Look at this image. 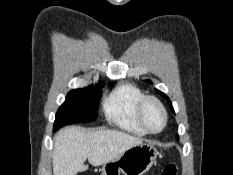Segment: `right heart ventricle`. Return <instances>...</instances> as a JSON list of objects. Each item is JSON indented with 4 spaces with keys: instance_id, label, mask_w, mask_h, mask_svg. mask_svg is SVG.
Segmentation results:
<instances>
[{
    "instance_id": "right-heart-ventricle-1",
    "label": "right heart ventricle",
    "mask_w": 233,
    "mask_h": 175,
    "mask_svg": "<svg viewBox=\"0 0 233 175\" xmlns=\"http://www.w3.org/2000/svg\"><path fill=\"white\" fill-rule=\"evenodd\" d=\"M144 96L143 91L132 83L118 85L103 101L106 119L124 131L145 135L147 131L137 117V105Z\"/></svg>"
}]
</instances>
